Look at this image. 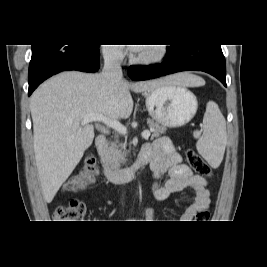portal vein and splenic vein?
Segmentation results:
<instances>
[{
    "instance_id": "1",
    "label": "portal vein and splenic vein",
    "mask_w": 267,
    "mask_h": 267,
    "mask_svg": "<svg viewBox=\"0 0 267 267\" xmlns=\"http://www.w3.org/2000/svg\"><path fill=\"white\" fill-rule=\"evenodd\" d=\"M103 122L107 126L115 129L117 132H119L122 135L127 134V129L124 125H122L120 122L110 119L102 114H87L82 116V124H87L89 122ZM150 136V131H143L142 132V137L143 138H149Z\"/></svg>"
}]
</instances>
